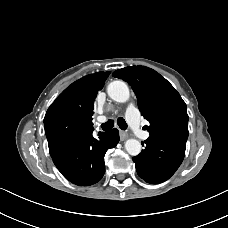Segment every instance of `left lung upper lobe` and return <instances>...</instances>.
Segmentation results:
<instances>
[{"mask_svg":"<svg viewBox=\"0 0 228 228\" xmlns=\"http://www.w3.org/2000/svg\"><path fill=\"white\" fill-rule=\"evenodd\" d=\"M112 75L131 85L137 97L138 108L150 123V135H169L187 141L186 104L163 76L145 66L125 67Z\"/></svg>","mask_w":228,"mask_h":228,"instance_id":"left-lung-upper-lobe-1","label":"left lung upper lobe"}]
</instances>
